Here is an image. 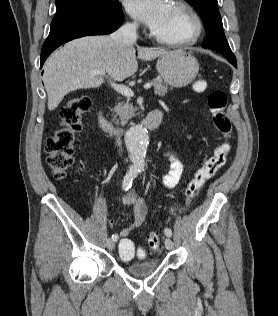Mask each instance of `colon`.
<instances>
[{
	"mask_svg": "<svg viewBox=\"0 0 278 316\" xmlns=\"http://www.w3.org/2000/svg\"><path fill=\"white\" fill-rule=\"evenodd\" d=\"M206 87L207 83L204 80H198L193 85L196 92H203ZM207 103L213 125L221 135L222 142L214 149L211 156L203 161L201 167L187 184L185 190L187 203L192 202L204 185L225 165L230 151L229 138L232 125L225 112L227 95L222 90H215L210 93ZM90 108L91 99L87 96L79 97L69 102L60 112V128L46 141L47 163L57 180L65 179L68 169L73 164L75 137L82 128V116ZM147 245V251L143 249L136 251L135 245L130 239H122L119 243V254L123 259H131L135 254L143 258L148 253L155 252L158 249L159 236L156 233H150Z\"/></svg>",
	"mask_w": 278,
	"mask_h": 316,
	"instance_id": "1",
	"label": "colon"
}]
</instances>
